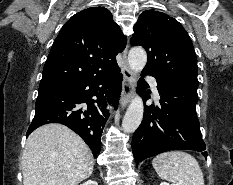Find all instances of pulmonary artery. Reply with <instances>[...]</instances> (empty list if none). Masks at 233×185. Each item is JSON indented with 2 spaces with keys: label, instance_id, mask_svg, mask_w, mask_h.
<instances>
[{
  "label": "pulmonary artery",
  "instance_id": "e3ab8cb5",
  "mask_svg": "<svg viewBox=\"0 0 233 185\" xmlns=\"http://www.w3.org/2000/svg\"><path fill=\"white\" fill-rule=\"evenodd\" d=\"M147 81L149 82V84L151 85L153 94L155 95V97L158 99L159 98V93H158V89H157V82L156 79L153 77H147Z\"/></svg>",
  "mask_w": 233,
  "mask_h": 185
}]
</instances>
